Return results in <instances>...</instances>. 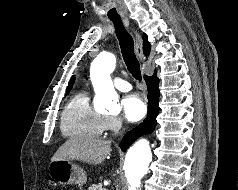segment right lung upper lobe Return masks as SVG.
Wrapping results in <instances>:
<instances>
[{
    "label": "right lung upper lobe",
    "instance_id": "1",
    "mask_svg": "<svg viewBox=\"0 0 238 190\" xmlns=\"http://www.w3.org/2000/svg\"><path fill=\"white\" fill-rule=\"evenodd\" d=\"M150 49H151V45L148 42V37L146 34H144V37H143V52H144V54L149 55ZM73 83H74V77H72V79L70 80V83L67 87V92H69L71 90Z\"/></svg>",
    "mask_w": 238,
    "mask_h": 190
}]
</instances>
